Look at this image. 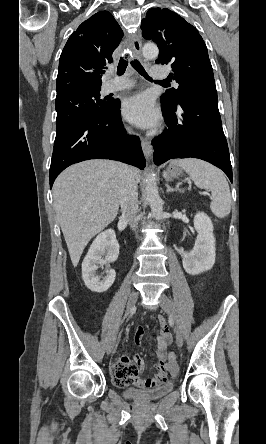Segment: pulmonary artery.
I'll return each instance as SVG.
<instances>
[{"instance_id":"1","label":"pulmonary artery","mask_w":266,"mask_h":444,"mask_svg":"<svg viewBox=\"0 0 266 444\" xmlns=\"http://www.w3.org/2000/svg\"><path fill=\"white\" fill-rule=\"evenodd\" d=\"M149 71L151 77L154 79H164L166 77V69L164 66H152ZM132 85L133 83L127 79L109 81L105 86V91L107 93L121 91L132 87Z\"/></svg>"}]
</instances>
